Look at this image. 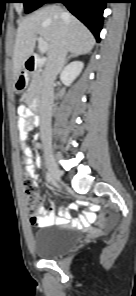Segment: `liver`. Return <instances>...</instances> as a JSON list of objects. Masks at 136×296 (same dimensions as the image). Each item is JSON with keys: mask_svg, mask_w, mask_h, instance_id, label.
Here are the masks:
<instances>
[{"mask_svg": "<svg viewBox=\"0 0 136 296\" xmlns=\"http://www.w3.org/2000/svg\"><path fill=\"white\" fill-rule=\"evenodd\" d=\"M57 5H48L25 18L18 27L13 51V77L17 81L26 60L34 53L37 36L49 45L48 57L56 47L61 29L67 26V47L72 54L81 55L92 50L95 38L73 15Z\"/></svg>", "mask_w": 136, "mask_h": 296, "instance_id": "1", "label": "liver"}]
</instances>
